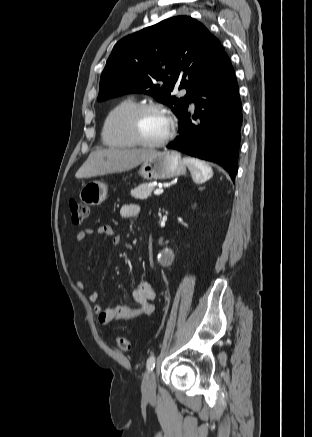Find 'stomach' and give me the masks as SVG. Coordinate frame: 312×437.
I'll return each mask as SVG.
<instances>
[{"instance_id":"obj_1","label":"stomach","mask_w":312,"mask_h":437,"mask_svg":"<svg viewBox=\"0 0 312 437\" xmlns=\"http://www.w3.org/2000/svg\"><path fill=\"white\" fill-rule=\"evenodd\" d=\"M186 164L174 150L154 151L141 163L139 175L146 180H164L185 173ZM108 187L100 181H90L80 190V200L89 206H98L107 198Z\"/></svg>"}]
</instances>
